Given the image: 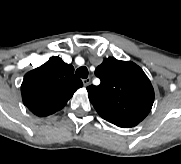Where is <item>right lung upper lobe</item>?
<instances>
[{
    "label": "right lung upper lobe",
    "mask_w": 181,
    "mask_h": 164,
    "mask_svg": "<svg viewBox=\"0 0 181 164\" xmlns=\"http://www.w3.org/2000/svg\"><path fill=\"white\" fill-rule=\"evenodd\" d=\"M82 86L74 75V67L56 56L24 76L21 94L24 105L44 117L62 109Z\"/></svg>",
    "instance_id": "cb5924a9"
}]
</instances>
